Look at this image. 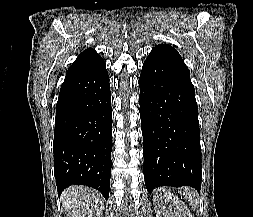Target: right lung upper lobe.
I'll use <instances>...</instances> for the list:
<instances>
[{"label":"right lung upper lobe","mask_w":253,"mask_h":217,"mask_svg":"<svg viewBox=\"0 0 253 217\" xmlns=\"http://www.w3.org/2000/svg\"><path fill=\"white\" fill-rule=\"evenodd\" d=\"M102 58L96 51L92 48H89L82 52L77 59L73 62V64L70 66V68L67 71V75L71 74L73 72L85 69L87 67H90L99 61H101Z\"/></svg>","instance_id":"1"}]
</instances>
